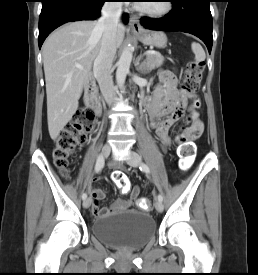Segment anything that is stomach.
Returning a JSON list of instances; mask_svg holds the SVG:
<instances>
[{"label": "stomach", "instance_id": "0dacf381", "mask_svg": "<svg viewBox=\"0 0 258 275\" xmlns=\"http://www.w3.org/2000/svg\"><path fill=\"white\" fill-rule=\"evenodd\" d=\"M135 35L144 45L163 48L167 43V37L162 31L135 32Z\"/></svg>", "mask_w": 258, "mask_h": 275}]
</instances>
